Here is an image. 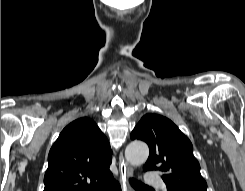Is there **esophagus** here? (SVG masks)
Segmentation results:
<instances>
[{
  "label": "esophagus",
  "mask_w": 245,
  "mask_h": 191,
  "mask_svg": "<svg viewBox=\"0 0 245 191\" xmlns=\"http://www.w3.org/2000/svg\"><path fill=\"white\" fill-rule=\"evenodd\" d=\"M119 172H120L119 182H120L122 191H132V188L129 183V179L133 176V169L126 162L123 156V152H121L119 155Z\"/></svg>",
  "instance_id": "obj_1"
}]
</instances>
